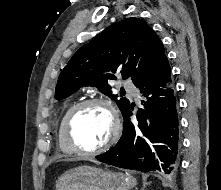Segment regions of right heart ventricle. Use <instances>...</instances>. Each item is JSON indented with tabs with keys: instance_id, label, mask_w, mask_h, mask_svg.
<instances>
[{
	"instance_id": "right-heart-ventricle-1",
	"label": "right heart ventricle",
	"mask_w": 221,
	"mask_h": 190,
	"mask_svg": "<svg viewBox=\"0 0 221 190\" xmlns=\"http://www.w3.org/2000/svg\"><path fill=\"white\" fill-rule=\"evenodd\" d=\"M79 101L78 100H73L71 101L67 107L64 109L60 120H59V124H58V134H57V141H58V146L59 149L61 150L62 153L64 154H73L75 153L72 148L69 146V144L67 143L65 136H64V121L66 116L68 115V113L71 111V109L78 104Z\"/></svg>"
}]
</instances>
